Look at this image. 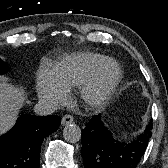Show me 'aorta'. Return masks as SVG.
Listing matches in <instances>:
<instances>
[{
  "label": "aorta",
  "instance_id": "1",
  "mask_svg": "<svg viewBox=\"0 0 168 168\" xmlns=\"http://www.w3.org/2000/svg\"><path fill=\"white\" fill-rule=\"evenodd\" d=\"M63 137L67 142L76 143L81 139V129L76 124H69L63 130Z\"/></svg>",
  "mask_w": 168,
  "mask_h": 168
}]
</instances>
